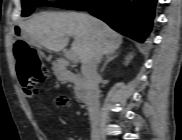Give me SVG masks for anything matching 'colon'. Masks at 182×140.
Here are the masks:
<instances>
[{
    "label": "colon",
    "instance_id": "colon-1",
    "mask_svg": "<svg viewBox=\"0 0 182 140\" xmlns=\"http://www.w3.org/2000/svg\"><path fill=\"white\" fill-rule=\"evenodd\" d=\"M17 60V70L27 96L36 93V86L48 77L47 67L38 51L30 47L25 41L18 40L13 46ZM69 102V97L61 95L56 98V104L64 106Z\"/></svg>",
    "mask_w": 182,
    "mask_h": 140
}]
</instances>
